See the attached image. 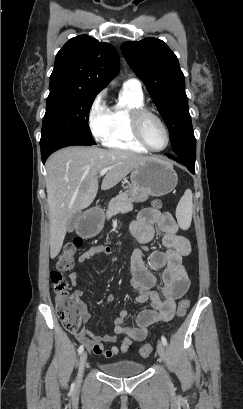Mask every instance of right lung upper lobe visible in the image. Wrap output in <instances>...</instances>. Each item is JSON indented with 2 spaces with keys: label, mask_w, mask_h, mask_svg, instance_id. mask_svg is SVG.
<instances>
[{
  "label": "right lung upper lobe",
  "mask_w": 243,
  "mask_h": 409,
  "mask_svg": "<svg viewBox=\"0 0 243 409\" xmlns=\"http://www.w3.org/2000/svg\"><path fill=\"white\" fill-rule=\"evenodd\" d=\"M119 68V55L111 44L80 35L70 39L57 53L50 84L98 94Z\"/></svg>",
  "instance_id": "right-lung-upper-lobe-1"
}]
</instances>
